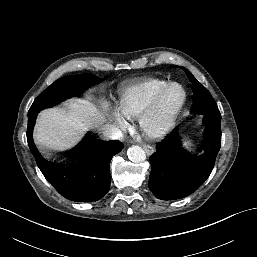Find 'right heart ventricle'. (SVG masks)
I'll list each match as a JSON object with an SVG mask.
<instances>
[{"mask_svg": "<svg viewBox=\"0 0 257 257\" xmlns=\"http://www.w3.org/2000/svg\"><path fill=\"white\" fill-rule=\"evenodd\" d=\"M166 83L162 78L147 77L129 84L119 92V110L127 117L139 115Z\"/></svg>", "mask_w": 257, "mask_h": 257, "instance_id": "right-heart-ventricle-1", "label": "right heart ventricle"}]
</instances>
